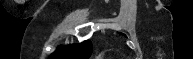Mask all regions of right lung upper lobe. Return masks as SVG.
<instances>
[{
    "label": "right lung upper lobe",
    "mask_w": 193,
    "mask_h": 59,
    "mask_svg": "<svg viewBox=\"0 0 193 59\" xmlns=\"http://www.w3.org/2000/svg\"><path fill=\"white\" fill-rule=\"evenodd\" d=\"M92 53V43L88 40L79 45L60 46L49 59H87Z\"/></svg>",
    "instance_id": "cb5924a9"
}]
</instances>
